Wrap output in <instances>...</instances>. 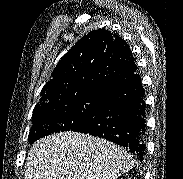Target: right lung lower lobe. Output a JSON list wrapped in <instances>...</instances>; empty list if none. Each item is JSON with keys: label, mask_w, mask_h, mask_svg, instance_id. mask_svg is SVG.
Wrapping results in <instances>:
<instances>
[{"label": "right lung lower lobe", "mask_w": 183, "mask_h": 179, "mask_svg": "<svg viewBox=\"0 0 183 179\" xmlns=\"http://www.w3.org/2000/svg\"><path fill=\"white\" fill-rule=\"evenodd\" d=\"M76 132L123 146L142 161L146 150V106L138 73L106 88L94 116Z\"/></svg>", "instance_id": "right-lung-lower-lobe-1"}]
</instances>
